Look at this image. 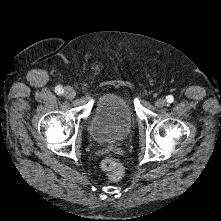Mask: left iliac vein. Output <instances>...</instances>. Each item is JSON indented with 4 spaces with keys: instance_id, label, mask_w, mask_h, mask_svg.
I'll return each instance as SVG.
<instances>
[{
    "instance_id": "1",
    "label": "left iliac vein",
    "mask_w": 221,
    "mask_h": 221,
    "mask_svg": "<svg viewBox=\"0 0 221 221\" xmlns=\"http://www.w3.org/2000/svg\"><path fill=\"white\" fill-rule=\"evenodd\" d=\"M155 105L157 107H163L166 105V100L164 98H159L156 100Z\"/></svg>"
}]
</instances>
